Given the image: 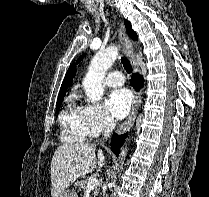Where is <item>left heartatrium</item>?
<instances>
[{
    "instance_id": "left-heart-atrium-1",
    "label": "left heart atrium",
    "mask_w": 209,
    "mask_h": 197,
    "mask_svg": "<svg viewBox=\"0 0 209 197\" xmlns=\"http://www.w3.org/2000/svg\"><path fill=\"white\" fill-rule=\"evenodd\" d=\"M132 105V94L126 88L114 89L108 95L106 108L115 118L125 117Z\"/></svg>"
}]
</instances>
